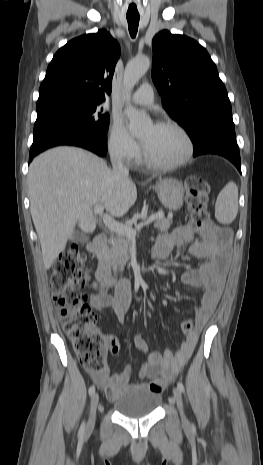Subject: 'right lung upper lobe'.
Segmentation results:
<instances>
[{
	"instance_id": "right-lung-upper-lobe-1",
	"label": "right lung upper lobe",
	"mask_w": 263,
	"mask_h": 465,
	"mask_svg": "<svg viewBox=\"0 0 263 465\" xmlns=\"http://www.w3.org/2000/svg\"><path fill=\"white\" fill-rule=\"evenodd\" d=\"M119 56V44L106 30L69 41L49 64L38 101L63 96L104 101Z\"/></svg>"
}]
</instances>
